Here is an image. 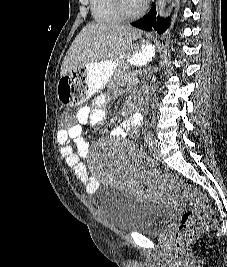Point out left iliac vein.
Instances as JSON below:
<instances>
[{
  "instance_id": "4c4485c4",
  "label": "left iliac vein",
  "mask_w": 227,
  "mask_h": 267,
  "mask_svg": "<svg viewBox=\"0 0 227 267\" xmlns=\"http://www.w3.org/2000/svg\"><path fill=\"white\" fill-rule=\"evenodd\" d=\"M152 151L153 154L157 157L160 158L161 157V152H160V144L158 140H153L152 142Z\"/></svg>"
}]
</instances>
